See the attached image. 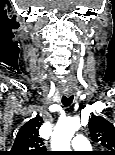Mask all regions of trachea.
<instances>
[{
    "mask_svg": "<svg viewBox=\"0 0 115 155\" xmlns=\"http://www.w3.org/2000/svg\"><path fill=\"white\" fill-rule=\"evenodd\" d=\"M73 101V96H63L62 103L65 107L70 106Z\"/></svg>",
    "mask_w": 115,
    "mask_h": 155,
    "instance_id": "3493384b",
    "label": "trachea"
}]
</instances>
